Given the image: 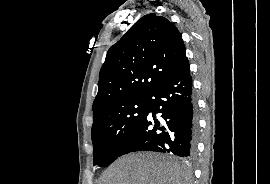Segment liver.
I'll use <instances>...</instances> for the list:
<instances>
[{"instance_id": "obj_1", "label": "liver", "mask_w": 270, "mask_h": 184, "mask_svg": "<svg viewBox=\"0 0 270 184\" xmlns=\"http://www.w3.org/2000/svg\"><path fill=\"white\" fill-rule=\"evenodd\" d=\"M183 163L153 153H133L118 158L100 177L99 184H189Z\"/></svg>"}]
</instances>
